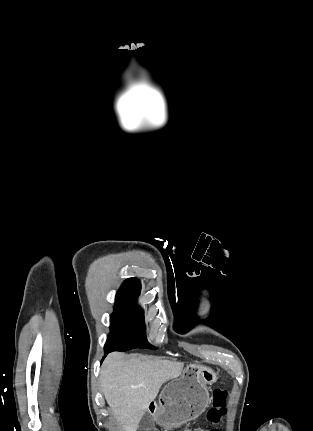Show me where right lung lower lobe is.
Here are the masks:
<instances>
[{"label":"right lung lower lobe","instance_id":"right-lung-lower-lobe-1","mask_svg":"<svg viewBox=\"0 0 313 431\" xmlns=\"http://www.w3.org/2000/svg\"><path fill=\"white\" fill-rule=\"evenodd\" d=\"M108 353H109L108 351H105V356H106Z\"/></svg>","mask_w":313,"mask_h":431}]
</instances>
